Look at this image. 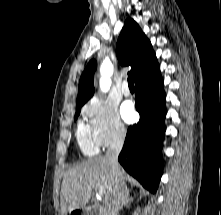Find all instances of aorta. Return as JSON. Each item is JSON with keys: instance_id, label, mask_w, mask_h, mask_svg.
I'll list each match as a JSON object with an SVG mask.
<instances>
[{"instance_id": "obj_1", "label": "aorta", "mask_w": 221, "mask_h": 215, "mask_svg": "<svg viewBox=\"0 0 221 215\" xmlns=\"http://www.w3.org/2000/svg\"><path fill=\"white\" fill-rule=\"evenodd\" d=\"M101 78L99 81L100 88L103 92H107L111 86V76L113 74V65L110 61H104L100 67Z\"/></svg>"}]
</instances>
